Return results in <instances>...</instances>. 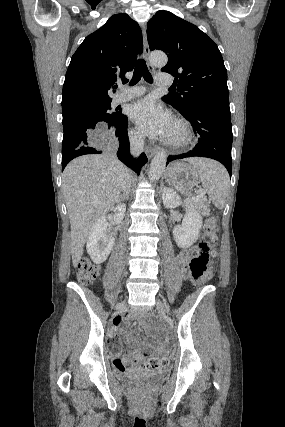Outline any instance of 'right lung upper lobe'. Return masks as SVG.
Listing matches in <instances>:
<instances>
[{
  "label": "right lung upper lobe",
  "instance_id": "1",
  "mask_svg": "<svg viewBox=\"0 0 285 427\" xmlns=\"http://www.w3.org/2000/svg\"><path fill=\"white\" fill-rule=\"evenodd\" d=\"M142 49L139 25L127 14L110 17L84 39L71 58L63 85L62 115L111 102L108 92L133 70Z\"/></svg>",
  "mask_w": 285,
  "mask_h": 427
}]
</instances>
